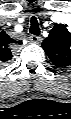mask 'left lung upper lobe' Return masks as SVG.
Wrapping results in <instances>:
<instances>
[{"mask_svg":"<svg viewBox=\"0 0 71 119\" xmlns=\"http://www.w3.org/2000/svg\"><path fill=\"white\" fill-rule=\"evenodd\" d=\"M66 26L56 24L42 43L51 62L61 68L71 65V33Z\"/></svg>","mask_w":71,"mask_h":119,"instance_id":"left-lung-upper-lobe-1","label":"left lung upper lobe"}]
</instances>
